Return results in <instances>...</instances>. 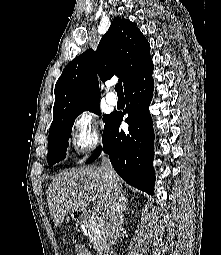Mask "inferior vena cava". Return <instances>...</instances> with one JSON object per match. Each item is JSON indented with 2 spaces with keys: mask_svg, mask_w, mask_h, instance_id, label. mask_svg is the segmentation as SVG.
Instances as JSON below:
<instances>
[{
  "mask_svg": "<svg viewBox=\"0 0 221 255\" xmlns=\"http://www.w3.org/2000/svg\"><path fill=\"white\" fill-rule=\"evenodd\" d=\"M101 168L104 172L105 178L110 182L116 178V173L111 165L109 157L105 154L101 156ZM123 192L119 184H113V191L111 198L105 208V232L111 244H116L120 228L123 223Z\"/></svg>",
  "mask_w": 221,
  "mask_h": 255,
  "instance_id": "inferior-vena-cava-1",
  "label": "inferior vena cava"
}]
</instances>
